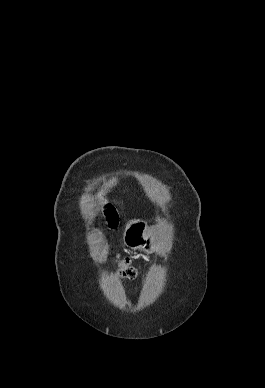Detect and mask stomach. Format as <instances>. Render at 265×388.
Returning a JSON list of instances; mask_svg holds the SVG:
<instances>
[{"label": "stomach", "mask_w": 265, "mask_h": 388, "mask_svg": "<svg viewBox=\"0 0 265 388\" xmlns=\"http://www.w3.org/2000/svg\"><path fill=\"white\" fill-rule=\"evenodd\" d=\"M124 244L133 250L152 253L156 245L155 229L150 230L142 220L131 221L124 232Z\"/></svg>", "instance_id": "obj_1"}]
</instances>
